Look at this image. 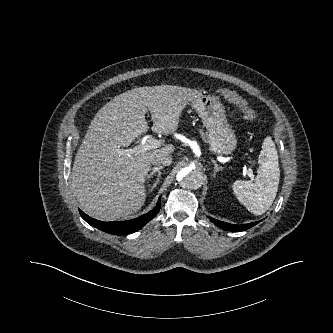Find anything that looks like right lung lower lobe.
I'll list each match as a JSON object with an SVG mask.
<instances>
[{"instance_id":"1","label":"right lung lower lobe","mask_w":333,"mask_h":333,"mask_svg":"<svg viewBox=\"0 0 333 333\" xmlns=\"http://www.w3.org/2000/svg\"><path fill=\"white\" fill-rule=\"evenodd\" d=\"M161 207V199L159 197L157 205L154 209L149 211L147 214L141 217L131 219L128 221H114V222H103L89 217L83 211L79 210L81 217L91 226L98 228L110 234L115 235H126L134 233L141 229L147 222L153 219L159 212Z\"/></svg>"}]
</instances>
